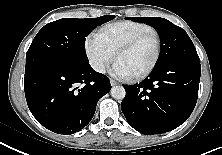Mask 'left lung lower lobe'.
<instances>
[{"mask_svg": "<svg viewBox=\"0 0 222 155\" xmlns=\"http://www.w3.org/2000/svg\"><path fill=\"white\" fill-rule=\"evenodd\" d=\"M200 72V62L175 60L154 67L139 84L123 85L121 109L127 122L145 135L180 126L196 105Z\"/></svg>", "mask_w": 222, "mask_h": 155, "instance_id": "0a47b994", "label": "left lung lower lobe"}]
</instances>
